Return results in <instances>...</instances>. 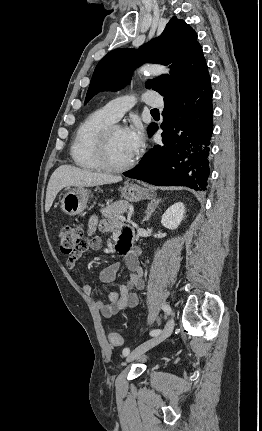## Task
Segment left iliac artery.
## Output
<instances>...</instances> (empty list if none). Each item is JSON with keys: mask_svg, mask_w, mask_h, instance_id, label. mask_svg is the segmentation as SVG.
<instances>
[{"mask_svg": "<svg viewBox=\"0 0 262 431\" xmlns=\"http://www.w3.org/2000/svg\"><path fill=\"white\" fill-rule=\"evenodd\" d=\"M162 309H163L167 314H170V312H171V308L169 307V305H163V306H162ZM159 333H160V330H159V329H155V330H152V331L150 332V335H151V336H155V335H157V334H159ZM129 352H130L129 348H125V349L123 350V355H124V356H127V355L129 354Z\"/></svg>", "mask_w": 262, "mask_h": 431, "instance_id": "left-iliac-artery-1", "label": "left iliac artery"}]
</instances>
